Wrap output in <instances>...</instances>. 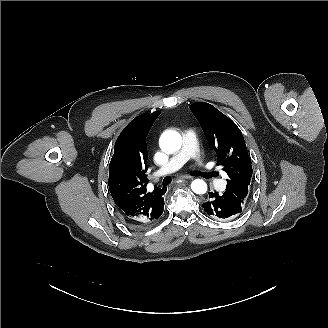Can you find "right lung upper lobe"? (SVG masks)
<instances>
[{
    "mask_svg": "<svg viewBox=\"0 0 328 328\" xmlns=\"http://www.w3.org/2000/svg\"><path fill=\"white\" fill-rule=\"evenodd\" d=\"M161 112L134 118L119 135L110 161L109 189L121 215L133 226H146L162 214L166 188L147 192L146 136Z\"/></svg>",
    "mask_w": 328,
    "mask_h": 328,
    "instance_id": "cb5924a9",
    "label": "right lung upper lobe"
}]
</instances>
